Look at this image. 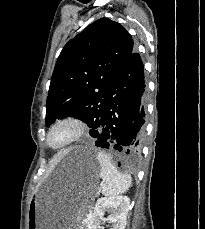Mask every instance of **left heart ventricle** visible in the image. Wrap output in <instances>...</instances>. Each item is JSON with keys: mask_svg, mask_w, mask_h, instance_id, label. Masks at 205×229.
Here are the masks:
<instances>
[{"mask_svg": "<svg viewBox=\"0 0 205 229\" xmlns=\"http://www.w3.org/2000/svg\"><path fill=\"white\" fill-rule=\"evenodd\" d=\"M69 135H70V130L66 127H61L54 132L51 138V142L52 144H59L64 140H66Z\"/></svg>", "mask_w": 205, "mask_h": 229, "instance_id": "obj_1", "label": "left heart ventricle"}]
</instances>
